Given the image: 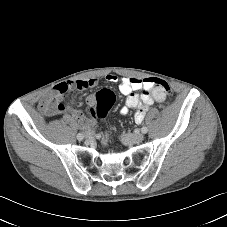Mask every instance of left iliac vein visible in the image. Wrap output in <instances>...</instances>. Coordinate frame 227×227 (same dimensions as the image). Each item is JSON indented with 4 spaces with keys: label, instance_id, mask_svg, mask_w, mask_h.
Masks as SVG:
<instances>
[{
    "label": "left iliac vein",
    "instance_id": "left-iliac-vein-1",
    "mask_svg": "<svg viewBox=\"0 0 227 227\" xmlns=\"http://www.w3.org/2000/svg\"><path fill=\"white\" fill-rule=\"evenodd\" d=\"M144 139V135L141 133L138 134H125L122 136V140L126 143H140Z\"/></svg>",
    "mask_w": 227,
    "mask_h": 227
}]
</instances>
